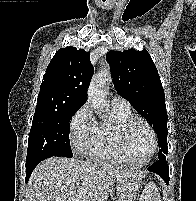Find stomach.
Returning <instances> with one entry per match:
<instances>
[{"label":"stomach","instance_id":"1","mask_svg":"<svg viewBox=\"0 0 196 201\" xmlns=\"http://www.w3.org/2000/svg\"><path fill=\"white\" fill-rule=\"evenodd\" d=\"M140 188V182L135 178H124L116 183L114 191L119 201H134Z\"/></svg>","mask_w":196,"mask_h":201}]
</instances>
